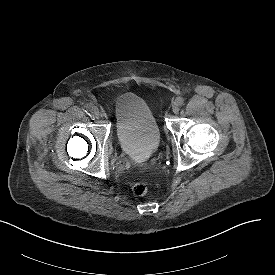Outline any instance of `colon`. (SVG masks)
I'll return each mask as SVG.
<instances>
[{"mask_svg": "<svg viewBox=\"0 0 275 275\" xmlns=\"http://www.w3.org/2000/svg\"><path fill=\"white\" fill-rule=\"evenodd\" d=\"M132 191L136 196H144L148 192V186L145 182H137L133 185Z\"/></svg>", "mask_w": 275, "mask_h": 275, "instance_id": "obj_1", "label": "colon"}]
</instances>
